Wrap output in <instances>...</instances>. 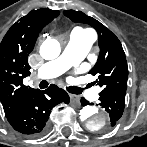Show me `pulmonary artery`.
Here are the masks:
<instances>
[{
  "instance_id": "1",
  "label": "pulmonary artery",
  "mask_w": 147,
  "mask_h": 147,
  "mask_svg": "<svg viewBox=\"0 0 147 147\" xmlns=\"http://www.w3.org/2000/svg\"><path fill=\"white\" fill-rule=\"evenodd\" d=\"M92 42L91 34L77 29L73 30L61 56L45 63L39 69L36 79L57 77L77 65L89 52ZM86 95L92 100L97 98L96 92L93 91H87Z\"/></svg>"
}]
</instances>
